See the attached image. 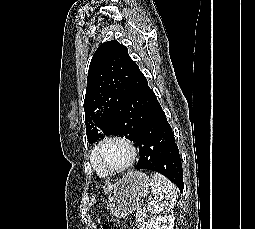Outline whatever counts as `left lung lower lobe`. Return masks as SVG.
<instances>
[{
	"mask_svg": "<svg viewBox=\"0 0 255 229\" xmlns=\"http://www.w3.org/2000/svg\"><path fill=\"white\" fill-rule=\"evenodd\" d=\"M139 147L136 169L159 172L183 191L182 164L165 113L142 72L137 70L117 118Z\"/></svg>",
	"mask_w": 255,
	"mask_h": 229,
	"instance_id": "1",
	"label": "left lung lower lobe"
}]
</instances>
